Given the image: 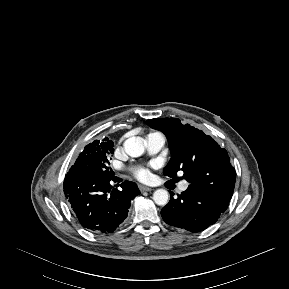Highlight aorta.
I'll return each mask as SVG.
<instances>
[{
	"instance_id": "762f6f07",
	"label": "aorta",
	"mask_w": 289,
	"mask_h": 289,
	"mask_svg": "<svg viewBox=\"0 0 289 289\" xmlns=\"http://www.w3.org/2000/svg\"><path fill=\"white\" fill-rule=\"evenodd\" d=\"M125 152L131 157H139L144 153L145 146L141 139L130 137L124 142ZM153 200L157 205L164 206L168 203L169 194L165 189H157L153 193Z\"/></svg>"
}]
</instances>
